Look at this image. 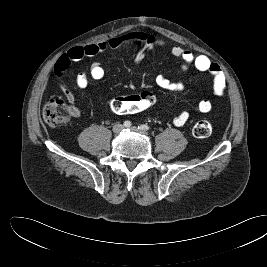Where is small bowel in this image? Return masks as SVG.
<instances>
[{
	"label": "small bowel",
	"instance_id": "small-bowel-1",
	"mask_svg": "<svg viewBox=\"0 0 267 267\" xmlns=\"http://www.w3.org/2000/svg\"><path fill=\"white\" fill-rule=\"evenodd\" d=\"M165 41L158 37L148 35L144 32H128L126 34L113 37L109 40L88 44L85 46L74 47L63 54L54 65V73L60 79V88L70 103L72 115L79 114V110L75 105V95L71 88L64 83L61 78L66 70H68L75 62L81 60L84 57L93 58L98 54L109 49H116L119 47H136L139 48V52L136 56L135 62L139 64L144 54L153 49L163 47ZM171 53L174 57L180 59L182 64L180 69L182 72H186L190 66H193L198 72L208 73L212 78L213 92L216 96H222L226 90V78L221 68L213 63L205 55H195L190 50L175 45L171 49ZM105 71L99 61H93L90 65L89 72H80L77 74L75 83L80 89H84L89 85L90 79L100 80L104 77ZM156 84L162 89L181 92L185 89V83L182 81H172L165 74L157 75ZM212 108V103L203 99L200 100L195 106L194 111L198 113H208ZM191 115L190 110H184L177 114L173 118L175 126H183L187 123Z\"/></svg>",
	"mask_w": 267,
	"mask_h": 267
}]
</instances>
